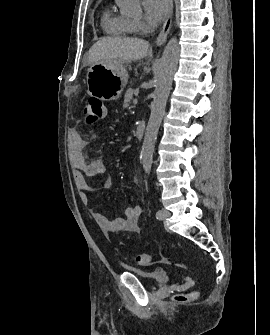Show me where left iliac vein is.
Returning a JSON list of instances; mask_svg holds the SVG:
<instances>
[{"label":"left iliac vein","mask_w":270,"mask_h":335,"mask_svg":"<svg viewBox=\"0 0 270 335\" xmlns=\"http://www.w3.org/2000/svg\"><path fill=\"white\" fill-rule=\"evenodd\" d=\"M170 216L169 211L161 209V215L158 217L159 220H166Z\"/></svg>","instance_id":"left-iliac-vein-1"}]
</instances>
